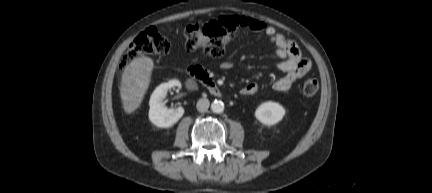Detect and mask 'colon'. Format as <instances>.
Here are the masks:
<instances>
[{"mask_svg":"<svg viewBox=\"0 0 432 193\" xmlns=\"http://www.w3.org/2000/svg\"><path fill=\"white\" fill-rule=\"evenodd\" d=\"M235 33V28L221 20L207 23H192L186 26L185 47L189 51L202 50L211 57L224 55L226 47ZM170 49V41L151 27L141 32L131 43L121 58L120 69H126L137 57L143 55H162ZM319 89L318 80L310 77L305 80L302 92L307 97L314 96Z\"/></svg>","mask_w":432,"mask_h":193,"instance_id":"1","label":"colon"}]
</instances>
